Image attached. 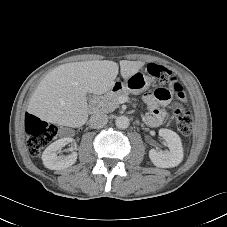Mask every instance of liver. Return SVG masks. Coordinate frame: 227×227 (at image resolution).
I'll use <instances>...</instances> for the list:
<instances>
[{
    "label": "liver",
    "instance_id": "1",
    "mask_svg": "<svg viewBox=\"0 0 227 227\" xmlns=\"http://www.w3.org/2000/svg\"><path fill=\"white\" fill-rule=\"evenodd\" d=\"M145 62L120 61L123 79L138 72ZM119 66L114 61L91 60L60 65L48 73L32 94L28 112L42 121L81 127L88 120L87 93L101 95L111 90Z\"/></svg>",
    "mask_w": 227,
    "mask_h": 227
}]
</instances>
